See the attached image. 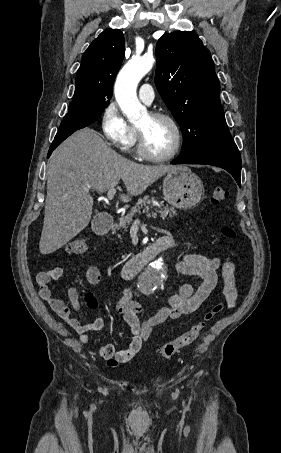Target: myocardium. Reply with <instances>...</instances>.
Returning <instances> with one entry per match:
<instances>
[{
    "instance_id": "obj_1",
    "label": "myocardium",
    "mask_w": 281,
    "mask_h": 453,
    "mask_svg": "<svg viewBox=\"0 0 281 453\" xmlns=\"http://www.w3.org/2000/svg\"><path fill=\"white\" fill-rule=\"evenodd\" d=\"M152 121H165L167 122L174 131L175 140L173 142L171 150L165 155H157L152 153L146 146V140L144 132L137 127V150L138 154L148 160L155 162H165L171 160L178 153L181 142H182V131L177 121L171 116L160 113L151 112L148 114Z\"/></svg>"
}]
</instances>
